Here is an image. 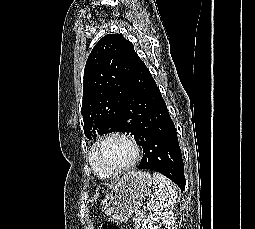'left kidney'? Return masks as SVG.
I'll return each mask as SVG.
<instances>
[{
  "label": "left kidney",
  "mask_w": 255,
  "mask_h": 229,
  "mask_svg": "<svg viewBox=\"0 0 255 229\" xmlns=\"http://www.w3.org/2000/svg\"><path fill=\"white\" fill-rule=\"evenodd\" d=\"M175 213L173 211L155 212L147 217L142 225L141 229H160L161 224L164 225V229H173L175 224Z\"/></svg>",
  "instance_id": "1"
}]
</instances>
